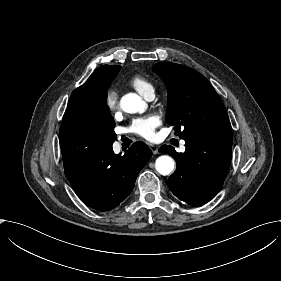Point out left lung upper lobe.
<instances>
[{
  "label": "left lung upper lobe",
  "mask_w": 281,
  "mask_h": 281,
  "mask_svg": "<svg viewBox=\"0 0 281 281\" xmlns=\"http://www.w3.org/2000/svg\"><path fill=\"white\" fill-rule=\"evenodd\" d=\"M153 71L162 78L168 90L166 122L175 126L181 139L232 135L226 109L203 75L170 62L155 64Z\"/></svg>",
  "instance_id": "5c2ea615"
}]
</instances>
